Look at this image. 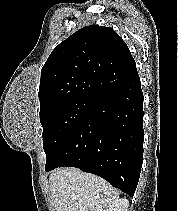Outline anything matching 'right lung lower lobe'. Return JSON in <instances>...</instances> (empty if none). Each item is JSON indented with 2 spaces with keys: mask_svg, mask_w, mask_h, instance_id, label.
Returning a JSON list of instances; mask_svg holds the SVG:
<instances>
[{
  "mask_svg": "<svg viewBox=\"0 0 178 211\" xmlns=\"http://www.w3.org/2000/svg\"><path fill=\"white\" fill-rule=\"evenodd\" d=\"M143 93L139 75L99 97L47 157L45 170L72 166L133 196L143 162Z\"/></svg>",
  "mask_w": 178,
  "mask_h": 211,
  "instance_id": "98d812e1",
  "label": "right lung lower lobe"
}]
</instances>
